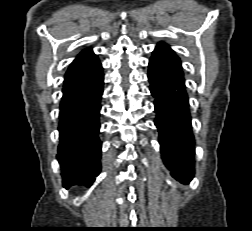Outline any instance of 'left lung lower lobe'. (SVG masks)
Masks as SVG:
<instances>
[{"mask_svg": "<svg viewBox=\"0 0 252 231\" xmlns=\"http://www.w3.org/2000/svg\"><path fill=\"white\" fill-rule=\"evenodd\" d=\"M148 79L155 97V125L160 150L171 175L183 182L194 176V135L181 61L165 43H159L149 61Z\"/></svg>", "mask_w": 252, "mask_h": 231, "instance_id": "1", "label": "left lung lower lobe"}]
</instances>
